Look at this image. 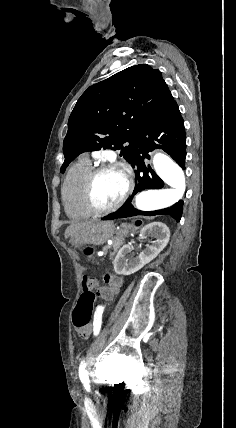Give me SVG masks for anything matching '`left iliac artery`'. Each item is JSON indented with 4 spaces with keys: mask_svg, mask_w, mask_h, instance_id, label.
Segmentation results:
<instances>
[{
    "mask_svg": "<svg viewBox=\"0 0 236 428\" xmlns=\"http://www.w3.org/2000/svg\"><path fill=\"white\" fill-rule=\"evenodd\" d=\"M103 310H104V307L98 306L94 314L93 331L95 336L99 334L101 329ZM79 377L80 378L88 377V371L86 370V363L84 361H82L79 366Z\"/></svg>",
    "mask_w": 236,
    "mask_h": 428,
    "instance_id": "left-iliac-artery-1",
    "label": "left iliac artery"
}]
</instances>
